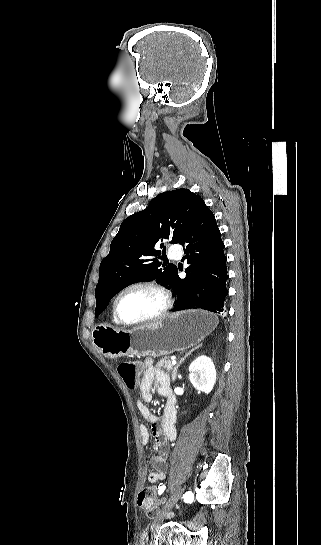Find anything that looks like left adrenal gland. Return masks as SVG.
<instances>
[{
    "mask_svg": "<svg viewBox=\"0 0 321 545\" xmlns=\"http://www.w3.org/2000/svg\"><path fill=\"white\" fill-rule=\"evenodd\" d=\"M196 349H198V347H195V349H192V351H189V353H186L185 357H183V359H181V361H179V363H177L176 367H174V369H173L172 381H175V379L177 377L178 367H180L181 363H183V361H185V359H187V357H189V355H191V353H193V351H196Z\"/></svg>",
    "mask_w": 321,
    "mask_h": 545,
    "instance_id": "1",
    "label": "left adrenal gland"
}]
</instances>
